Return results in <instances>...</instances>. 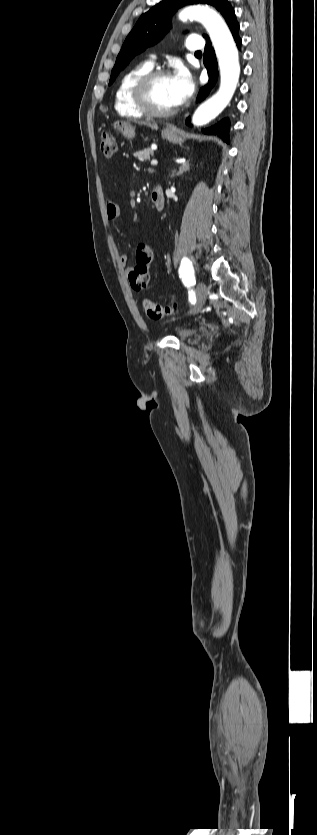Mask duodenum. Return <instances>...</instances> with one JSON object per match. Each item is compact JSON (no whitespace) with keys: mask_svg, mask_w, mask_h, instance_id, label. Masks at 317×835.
<instances>
[{"mask_svg":"<svg viewBox=\"0 0 317 835\" xmlns=\"http://www.w3.org/2000/svg\"><path fill=\"white\" fill-rule=\"evenodd\" d=\"M150 198L156 210L161 211L164 208L165 198L161 186L158 185L151 191Z\"/></svg>","mask_w":317,"mask_h":835,"instance_id":"obj_1","label":"duodenum"}]
</instances>
